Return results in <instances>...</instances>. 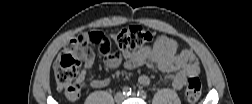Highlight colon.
Listing matches in <instances>:
<instances>
[{
  "mask_svg": "<svg viewBox=\"0 0 252 104\" xmlns=\"http://www.w3.org/2000/svg\"><path fill=\"white\" fill-rule=\"evenodd\" d=\"M151 39V33L139 25L122 27L113 32L111 38L97 30L81 33L67 44L54 63L57 88L72 99L80 94L82 61L93 58L95 48L102 56H106L111 51L112 42L119 49L130 51L141 48ZM200 94V80L197 77L189 78L185 89L187 100L195 103L199 100Z\"/></svg>",
  "mask_w": 252,
  "mask_h": 104,
  "instance_id": "5ec220e1",
  "label": "colon"
}]
</instances>
